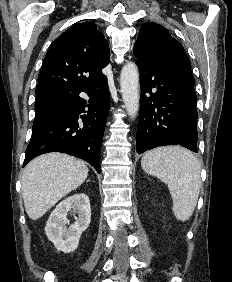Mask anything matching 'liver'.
I'll list each match as a JSON object with an SVG mask.
<instances>
[{"label": "liver", "instance_id": "1", "mask_svg": "<svg viewBox=\"0 0 232 282\" xmlns=\"http://www.w3.org/2000/svg\"><path fill=\"white\" fill-rule=\"evenodd\" d=\"M87 176L86 164L67 154L48 153L29 162L22 175V196L29 218L42 217Z\"/></svg>", "mask_w": 232, "mask_h": 282}]
</instances>
